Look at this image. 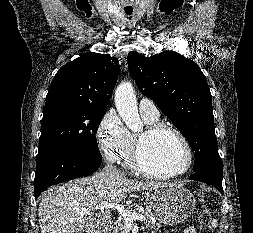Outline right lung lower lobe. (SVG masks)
<instances>
[{
  "mask_svg": "<svg viewBox=\"0 0 253 233\" xmlns=\"http://www.w3.org/2000/svg\"><path fill=\"white\" fill-rule=\"evenodd\" d=\"M101 160L102 158L61 150H50L38 155L34 180L35 198L51 185L91 175L99 168Z\"/></svg>",
  "mask_w": 253,
  "mask_h": 233,
  "instance_id": "1",
  "label": "right lung lower lobe"
}]
</instances>
